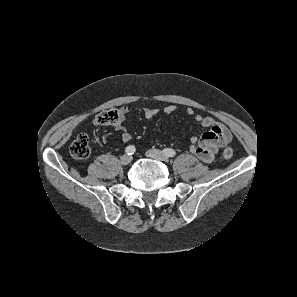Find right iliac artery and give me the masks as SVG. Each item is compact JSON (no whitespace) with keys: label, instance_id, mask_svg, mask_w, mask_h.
<instances>
[{"label":"right iliac artery","instance_id":"82829eb1","mask_svg":"<svg viewBox=\"0 0 297 297\" xmlns=\"http://www.w3.org/2000/svg\"><path fill=\"white\" fill-rule=\"evenodd\" d=\"M136 151L135 147L133 145H129L126 147L125 149V152L128 154V155H132L134 154Z\"/></svg>","mask_w":297,"mask_h":297}]
</instances>
